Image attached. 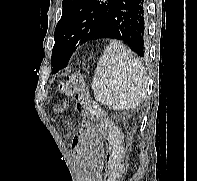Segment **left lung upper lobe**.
Instances as JSON below:
<instances>
[{"label": "left lung upper lobe", "mask_w": 197, "mask_h": 181, "mask_svg": "<svg viewBox=\"0 0 197 181\" xmlns=\"http://www.w3.org/2000/svg\"><path fill=\"white\" fill-rule=\"evenodd\" d=\"M114 0H63V13L54 33L52 73L66 67L72 53L95 39V33Z\"/></svg>", "instance_id": "obj_1"}]
</instances>
